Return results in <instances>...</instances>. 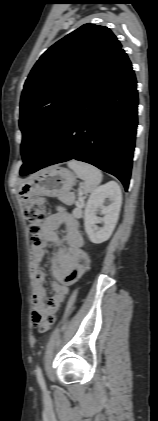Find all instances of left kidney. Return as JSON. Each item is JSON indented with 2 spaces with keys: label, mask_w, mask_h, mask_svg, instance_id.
<instances>
[{
  "label": "left kidney",
  "mask_w": 158,
  "mask_h": 421,
  "mask_svg": "<svg viewBox=\"0 0 158 421\" xmlns=\"http://www.w3.org/2000/svg\"><path fill=\"white\" fill-rule=\"evenodd\" d=\"M107 198L110 203L105 206L104 202ZM121 204V189L114 181H110L98 187L91 194L85 207L84 226L92 243L100 244L110 238L118 221ZM99 208L102 209L104 213L102 219L97 217ZM99 223H102L103 226H97Z\"/></svg>",
  "instance_id": "1"
}]
</instances>
